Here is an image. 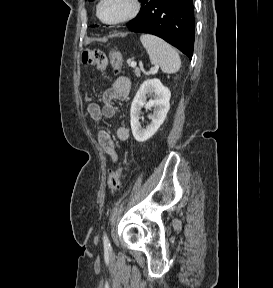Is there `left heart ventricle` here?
<instances>
[{
	"instance_id": "left-heart-ventricle-1",
	"label": "left heart ventricle",
	"mask_w": 273,
	"mask_h": 288,
	"mask_svg": "<svg viewBox=\"0 0 273 288\" xmlns=\"http://www.w3.org/2000/svg\"><path fill=\"white\" fill-rule=\"evenodd\" d=\"M130 9L128 0H106L101 7V16L105 20H114L124 14Z\"/></svg>"
}]
</instances>
